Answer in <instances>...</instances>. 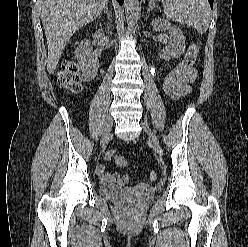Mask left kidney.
<instances>
[{
    "mask_svg": "<svg viewBox=\"0 0 248 247\" xmlns=\"http://www.w3.org/2000/svg\"><path fill=\"white\" fill-rule=\"evenodd\" d=\"M151 26L154 31L169 30L170 42L161 50L159 54L160 58L170 60L179 57L185 52L186 38L179 27L172 26L168 21L163 19L153 20Z\"/></svg>",
    "mask_w": 248,
    "mask_h": 247,
    "instance_id": "5707ae66",
    "label": "left kidney"
}]
</instances>
